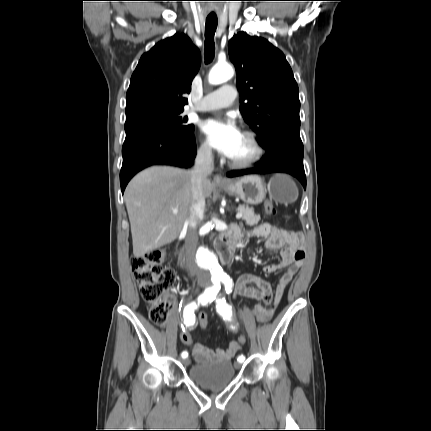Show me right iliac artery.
<instances>
[{
    "instance_id": "1",
    "label": "right iliac artery",
    "mask_w": 431,
    "mask_h": 431,
    "mask_svg": "<svg viewBox=\"0 0 431 431\" xmlns=\"http://www.w3.org/2000/svg\"><path fill=\"white\" fill-rule=\"evenodd\" d=\"M218 289L220 288V284L218 283L214 288H208L204 291V293H202L199 297L197 302H191L189 304H187L183 310V318H184V324L186 326H191L194 324L195 322V315H194V311L199 307V305H206L209 302L213 301V291L214 289ZM182 358H187L188 357V353L186 351H183L181 354Z\"/></svg>"
}]
</instances>
